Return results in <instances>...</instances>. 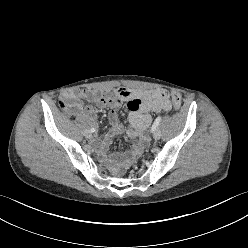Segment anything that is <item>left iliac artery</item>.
<instances>
[{
  "instance_id": "1",
  "label": "left iliac artery",
  "mask_w": 248,
  "mask_h": 248,
  "mask_svg": "<svg viewBox=\"0 0 248 248\" xmlns=\"http://www.w3.org/2000/svg\"><path fill=\"white\" fill-rule=\"evenodd\" d=\"M160 121H161V116H158L152 125V132L156 130V128L159 126Z\"/></svg>"
}]
</instances>
